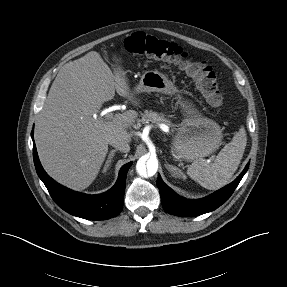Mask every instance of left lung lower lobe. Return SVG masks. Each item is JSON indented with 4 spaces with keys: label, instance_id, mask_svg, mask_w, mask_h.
Listing matches in <instances>:
<instances>
[{
    "label": "left lung lower lobe",
    "instance_id": "1",
    "mask_svg": "<svg viewBox=\"0 0 287 287\" xmlns=\"http://www.w3.org/2000/svg\"><path fill=\"white\" fill-rule=\"evenodd\" d=\"M248 167L249 163L232 183L200 200H188L178 196L162 181L161 177L158 176L157 186L160 191L162 206L169 214L181 217H192L211 212L227 201L247 172Z\"/></svg>",
    "mask_w": 287,
    "mask_h": 287
}]
</instances>
